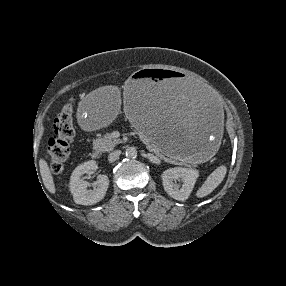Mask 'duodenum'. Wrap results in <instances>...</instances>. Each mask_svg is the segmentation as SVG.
Listing matches in <instances>:
<instances>
[{
  "instance_id": "duodenum-1",
  "label": "duodenum",
  "mask_w": 286,
  "mask_h": 286,
  "mask_svg": "<svg viewBox=\"0 0 286 286\" xmlns=\"http://www.w3.org/2000/svg\"><path fill=\"white\" fill-rule=\"evenodd\" d=\"M92 158L93 159H99L100 157H101V153H100V151L98 150V149H94L93 151H92Z\"/></svg>"
}]
</instances>
